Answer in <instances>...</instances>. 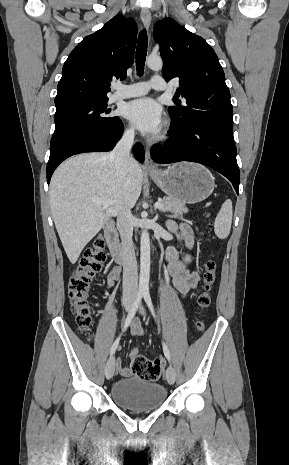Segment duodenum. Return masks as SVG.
Instances as JSON below:
<instances>
[{"label":"duodenum","mask_w":289,"mask_h":465,"mask_svg":"<svg viewBox=\"0 0 289 465\" xmlns=\"http://www.w3.org/2000/svg\"><path fill=\"white\" fill-rule=\"evenodd\" d=\"M104 237L110 256L118 264H124L127 259L124 248L120 245L114 222L108 220L104 226Z\"/></svg>","instance_id":"duodenum-1"}]
</instances>
